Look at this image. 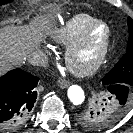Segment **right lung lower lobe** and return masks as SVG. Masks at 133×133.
Segmentation results:
<instances>
[{
    "label": "right lung lower lobe",
    "instance_id": "obj_1",
    "mask_svg": "<svg viewBox=\"0 0 133 133\" xmlns=\"http://www.w3.org/2000/svg\"><path fill=\"white\" fill-rule=\"evenodd\" d=\"M39 78L17 68L0 77V128L13 129L27 118L37 98Z\"/></svg>",
    "mask_w": 133,
    "mask_h": 133
}]
</instances>
